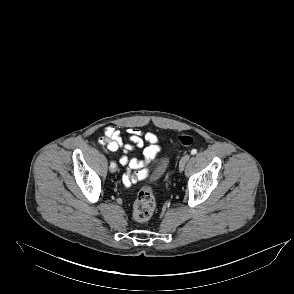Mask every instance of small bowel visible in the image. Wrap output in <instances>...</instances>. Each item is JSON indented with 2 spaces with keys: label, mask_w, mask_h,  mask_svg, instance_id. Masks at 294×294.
<instances>
[{
  "label": "small bowel",
  "mask_w": 294,
  "mask_h": 294,
  "mask_svg": "<svg viewBox=\"0 0 294 294\" xmlns=\"http://www.w3.org/2000/svg\"><path fill=\"white\" fill-rule=\"evenodd\" d=\"M126 133L129 137V143L123 141L119 129L112 125L107 126L104 129V136L99 138V143L112 152H121L120 163L127 167L122 181L126 187H130L148 176L149 169L146 166L157 158L161 148L158 144V137L154 133L143 132L137 127L126 129ZM144 140L150 143L144 149L145 160L130 157L129 153L136 148H141Z\"/></svg>",
  "instance_id": "c3829d8e"
}]
</instances>
